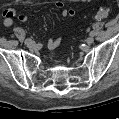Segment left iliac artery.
<instances>
[{
  "mask_svg": "<svg viewBox=\"0 0 119 119\" xmlns=\"http://www.w3.org/2000/svg\"><path fill=\"white\" fill-rule=\"evenodd\" d=\"M90 35H91V36H93V35H94V33H93V32H90Z\"/></svg>",
  "mask_w": 119,
  "mask_h": 119,
  "instance_id": "left-iliac-artery-1",
  "label": "left iliac artery"
}]
</instances>
